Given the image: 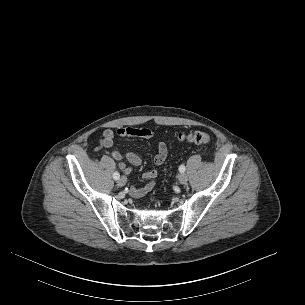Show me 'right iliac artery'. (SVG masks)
<instances>
[{
	"label": "right iliac artery",
	"mask_w": 305,
	"mask_h": 305,
	"mask_svg": "<svg viewBox=\"0 0 305 305\" xmlns=\"http://www.w3.org/2000/svg\"><path fill=\"white\" fill-rule=\"evenodd\" d=\"M113 178H114L115 180H118V179L120 178V174H119L118 172H114Z\"/></svg>",
	"instance_id": "82829eb1"
}]
</instances>
